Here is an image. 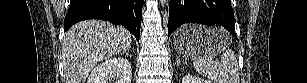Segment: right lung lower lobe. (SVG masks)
<instances>
[{
    "instance_id": "98d812e1",
    "label": "right lung lower lobe",
    "mask_w": 307,
    "mask_h": 83,
    "mask_svg": "<svg viewBox=\"0 0 307 83\" xmlns=\"http://www.w3.org/2000/svg\"><path fill=\"white\" fill-rule=\"evenodd\" d=\"M143 3L144 0H71L64 31L79 21L100 19L122 24L139 42Z\"/></svg>"
}]
</instances>
